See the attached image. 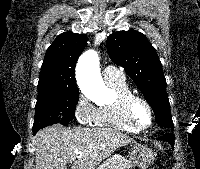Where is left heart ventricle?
Listing matches in <instances>:
<instances>
[{"instance_id":"left-heart-ventricle-1","label":"left heart ventricle","mask_w":200,"mask_h":169,"mask_svg":"<svg viewBox=\"0 0 200 169\" xmlns=\"http://www.w3.org/2000/svg\"><path fill=\"white\" fill-rule=\"evenodd\" d=\"M133 117L135 122L139 126H146L150 120V114L147 107L141 103L137 102L133 107Z\"/></svg>"}]
</instances>
